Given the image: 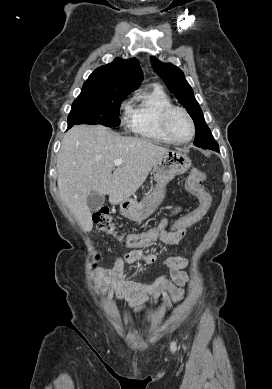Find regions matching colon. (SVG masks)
Listing matches in <instances>:
<instances>
[{"label": "colon", "mask_w": 272, "mask_h": 389, "mask_svg": "<svg viewBox=\"0 0 272 389\" xmlns=\"http://www.w3.org/2000/svg\"><path fill=\"white\" fill-rule=\"evenodd\" d=\"M205 181L206 175L203 171L199 169H192L190 171L187 178V189L198 198L199 205L194 210L168 222L163 228L156 227L142 233L126 236L117 235L115 225L107 207H102L93 214V222L102 231L116 235L121 242L129 247L148 246L157 241L163 232L174 233L186 230L206 215L210 208L211 199L209 193L204 188L203 184Z\"/></svg>", "instance_id": "obj_1"}]
</instances>
